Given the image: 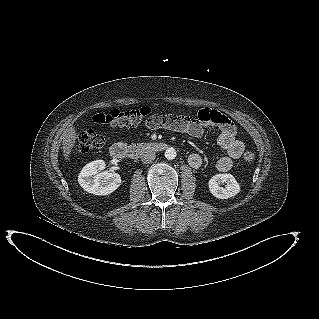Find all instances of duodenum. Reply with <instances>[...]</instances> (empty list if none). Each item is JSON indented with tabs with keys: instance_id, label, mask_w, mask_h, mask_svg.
Returning a JSON list of instances; mask_svg holds the SVG:
<instances>
[{
	"instance_id": "obj_1",
	"label": "duodenum",
	"mask_w": 319,
	"mask_h": 319,
	"mask_svg": "<svg viewBox=\"0 0 319 319\" xmlns=\"http://www.w3.org/2000/svg\"><path fill=\"white\" fill-rule=\"evenodd\" d=\"M166 148L165 143L154 141L137 142L130 146L124 143H115L110 148V155L114 159L124 161L128 158L139 157L149 152L162 151Z\"/></svg>"
}]
</instances>
